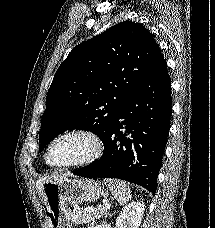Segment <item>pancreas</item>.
Masks as SVG:
<instances>
[{
    "label": "pancreas",
    "mask_w": 215,
    "mask_h": 228,
    "mask_svg": "<svg viewBox=\"0 0 215 228\" xmlns=\"http://www.w3.org/2000/svg\"><path fill=\"white\" fill-rule=\"evenodd\" d=\"M107 210L103 208H90V210H73L72 224L80 226V224H92L95 220H100L105 216Z\"/></svg>",
    "instance_id": "cf45deb5"
}]
</instances>
